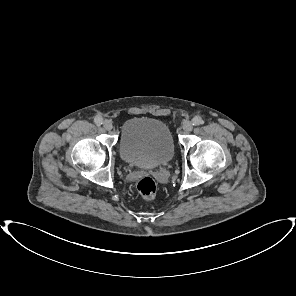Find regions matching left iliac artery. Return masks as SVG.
<instances>
[{"instance_id":"left-iliac-artery-1","label":"left iliac artery","mask_w":296,"mask_h":296,"mask_svg":"<svg viewBox=\"0 0 296 296\" xmlns=\"http://www.w3.org/2000/svg\"><path fill=\"white\" fill-rule=\"evenodd\" d=\"M203 124V120L201 117L196 116L193 118V125L197 126V125H201Z\"/></svg>"}]
</instances>
